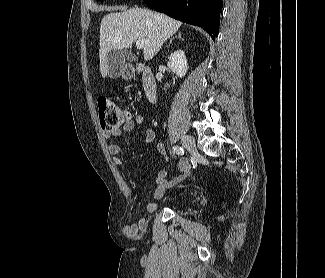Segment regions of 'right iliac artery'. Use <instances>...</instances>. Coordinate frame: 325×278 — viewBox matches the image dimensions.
Instances as JSON below:
<instances>
[{
    "label": "right iliac artery",
    "mask_w": 325,
    "mask_h": 278,
    "mask_svg": "<svg viewBox=\"0 0 325 278\" xmlns=\"http://www.w3.org/2000/svg\"><path fill=\"white\" fill-rule=\"evenodd\" d=\"M173 152L178 154V155H184V149L179 146H174L173 147Z\"/></svg>",
    "instance_id": "1"
}]
</instances>
